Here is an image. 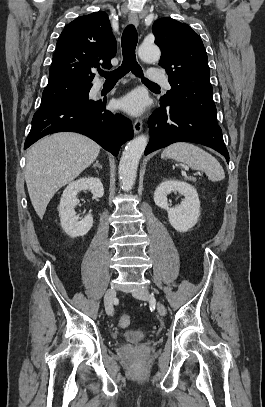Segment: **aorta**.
Segmentation results:
<instances>
[{"label": "aorta", "mask_w": 265, "mask_h": 407, "mask_svg": "<svg viewBox=\"0 0 265 407\" xmlns=\"http://www.w3.org/2000/svg\"><path fill=\"white\" fill-rule=\"evenodd\" d=\"M138 55L144 62H156L160 59V50L154 44L142 43L138 49ZM148 138L145 135L131 140L125 147L119 164V179L124 191L132 189L137 168L142 154L147 146Z\"/></svg>", "instance_id": "762f6f07"}]
</instances>
